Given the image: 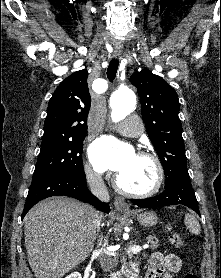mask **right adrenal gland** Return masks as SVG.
<instances>
[{
	"instance_id": "1",
	"label": "right adrenal gland",
	"mask_w": 221,
	"mask_h": 278,
	"mask_svg": "<svg viewBox=\"0 0 221 278\" xmlns=\"http://www.w3.org/2000/svg\"><path fill=\"white\" fill-rule=\"evenodd\" d=\"M102 238H103V237H102V236H100V240H102Z\"/></svg>"
}]
</instances>
